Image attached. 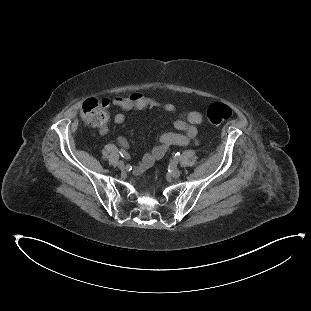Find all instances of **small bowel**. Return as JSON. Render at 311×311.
<instances>
[{"instance_id": "1", "label": "small bowel", "mask_w": 311, "mask_h": 311, "mask_svg": "<svg viewBox=\"0 0 311 311\" xmlns=\"http://www.w3.org/2000/svg\"><path fill=\"white\" fill-rule=\"evenodd\" d=\"M110 107L121 108L125 113H118L113 117L115 124L123 123L127 115L141 110L161 108L163 111L174 114L176 108L171 103L160 102L154 98L148 97L142 93H135L126 97H114L109 99ZM203 123L202 115L197 111H190L180 115L174 122V127L179 132H165L159 137V144L151 151L144 154L139 161L136 171L142 173L149 169L156 161L165 156L172 146H186L198 143V127ZM101 135H106L109 131L108 126L103 123L98 126ZM122 146L127 145L123 136L118 138Z\"/></svg>"}]
</instances>
